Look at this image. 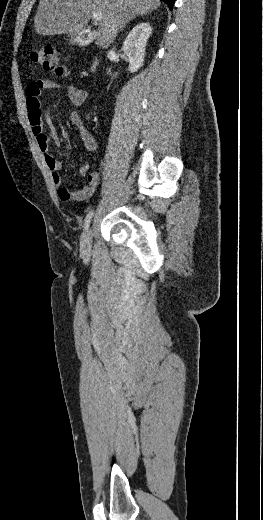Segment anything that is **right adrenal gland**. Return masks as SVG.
<instances>
[{"label": "right adrenal gland", "mask_w": 263, "mask_h": 520, "mask_svg": "<svg viewBox=\"0 0 263 520\" xmlns=\"http://www.w3.org/2000/svg\"><path fill=\"white\" fill-rule=\"evenodd\" d=\"M130 21H132V20H130ZM124 28H125V26H124ZM124 28H122V29H121V31H123V30H124Z\"/></svg>", "instance_id": "obj_1"}]
</instances>
